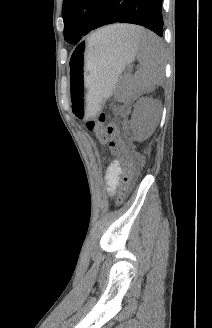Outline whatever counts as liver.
<instances>
[{
  "label": "liver",
  "instance_id": "6515ba94",
  "mask_svg": "<svg viewBox=\"0 0 212 328\" xmlns=\"http://www.w3.org/2000/svg\"><path fill=\"white\" fill-rule=\"evenodd\" d=\"M137 29L133 25L116 24L95 32L100 43H124L130 41Z\"/></svg>",
  "mask_w": 212,
  "mask_h": 328
}]
</instances>
